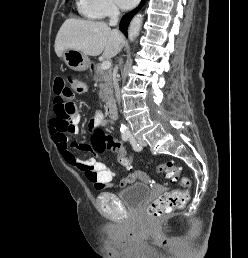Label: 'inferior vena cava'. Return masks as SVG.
<instances>
[{
	"mask_svg": "<svg viewBox=\"0 0 248 258\" xmlns=\"http://www.w3.org/2000/svg\"><path fill=\"white\" fill-rule=\"evenodd\" d=\"M119 15H120L119 9L115 5H111L110 9H109V17H110L109 25L110 26L117 25ZM117 71H118V67L116 66L114 68V75H115V77H114V88H115L116 98H117V101L119 103L120 102V91H119L118 81L116 79Z\"/></svg>",
	"mask_w": 248,
	"mask_h": 258,
	"instance_id": "inferior-vena-cava-1",
	"label": "inferior vena cava"
}]
</instances>
